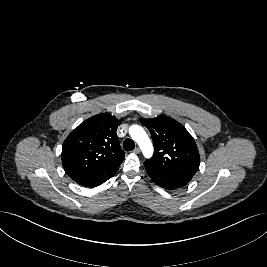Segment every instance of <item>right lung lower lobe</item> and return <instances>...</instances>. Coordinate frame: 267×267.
<instances>
[{"label":"right lung lower lobe","instance_id":"obj_1","mask_svg":"<svg viewBox=\"0 0 267 267\" xmlns=\"http://www.w3.org/2000/svg\"><path fill=\"white\" fill-rule=\"evenodd\" d=\"M120 165H114L97 172L91 173L87 176L76 179L75 181L82 186L96 187L110 179L118 170Z\"/></svg>","mask_w":267,"mask_h":267}]
</instances>
